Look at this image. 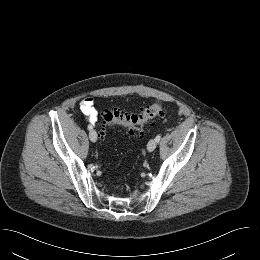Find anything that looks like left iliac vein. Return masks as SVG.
Returning <instances> with one entry per match:
<instances>
[{"label":"left iliac vein","mask_w":260,"mask_h":260,"mask_svg":"<svg viewBox=\"0 0 260 260\" xmlns=\"http://www.w3.org/2000/svg\"><path fill=\"white\" fill-rule=\"evenodd\" d=\"M157 141L155 139H151L149 142H148V145H147V150L149 152H152L155 150L156 146H157Z\"/></svg>","instance_id":"4c4485c4"}]
</instances>
